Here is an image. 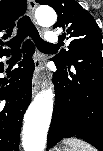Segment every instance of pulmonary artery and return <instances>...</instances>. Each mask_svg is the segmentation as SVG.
<instances>
[{"label": "pulmonary artery", "mask_w": 103, "mask_h": 151, "mask_svg": "<svg viewBox=\"0 0 103 151\" xmlns=\"http://www.w3.org/2000/svg\"><path fill=\"white\" fill-rule=\"evenodd\" d=\"M46 40L48 43L53 44L58 41V35L54 31H50L46 34Z\"/></svg>", "instance_id": "pulmonary-artery-1"}]
</instances>
